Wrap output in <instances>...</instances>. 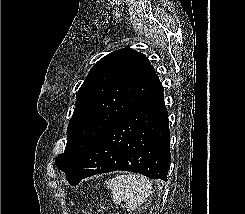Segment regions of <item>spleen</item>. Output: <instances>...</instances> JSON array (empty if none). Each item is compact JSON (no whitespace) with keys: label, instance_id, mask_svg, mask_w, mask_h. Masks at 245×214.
I'll return each mask as SVG.
<instances>
[{"label":"spleen","instance_id":"spleen-1","mask_svg":"<svg viewBox=\"0 0 245 214\" xmlns=\"http://www.w3.org/2000/svg\"><path fill=\"white\" fill-rule=\"evenodd\" d=\"M107 187L112 191L114 203L124 202L129 212L140 209L152 189L150 180L138 174L116 176L107 182Z\"/></svg>","mask_w":245,"mask_h":214}]
</instances>
